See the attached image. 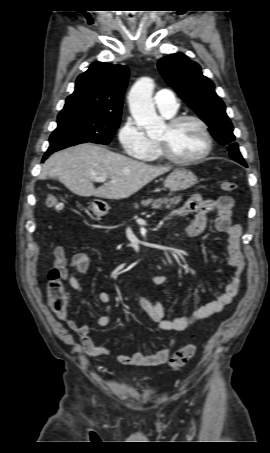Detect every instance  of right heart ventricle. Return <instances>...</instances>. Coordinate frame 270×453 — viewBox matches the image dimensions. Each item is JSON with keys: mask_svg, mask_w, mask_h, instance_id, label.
Instances as JSON below:
<instances>
[{"mask_svg": "<svg viewBox=\"0 0 270 453\" xmlns=\"http://www.w3.org/2000/svg\"><path fill=\"white\" fill-rule=\"evenodd\" d=\"M140 159L145 162H158L164 159L161 155L157 142L152 141V146L149 152Z\"/></svg>", "mask_w": 270, "mask_h": 453, "instance_id": "1", "label": "right heart ventricle"}]
</instances>
